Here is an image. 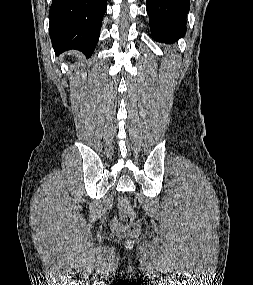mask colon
<instances>
[{
  "label": "colon",
  "mask_w": 253,
  "mask_h": 285,
  "mask_svg": "<svg viewBox=\"0 0 253 285\" xmlns=\"http://www.w3.org/2000/svg\"><path fill=\"white\" fill-rule=\"evenodd\" d=\"M135 220V211L128 198L120 197L118 200V213L112 221L113 230L122 236L136 237L140 227Z\"/></svg>",
  "instance_id": "obj_1"
}]
</instances>
